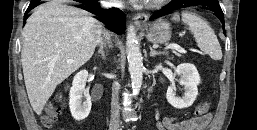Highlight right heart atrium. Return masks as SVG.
I'll return each mask as SVG.
<instances>
[{"label":"right heart atrium","instance_id":"right-heart-atrium-1","mask_svg":"<svg viewBox=\"0 0 257 130\" xmlns=\"http://www.w3.org/2000/svg\"><path fill=\"white\" fill-rule=\"evenodd\" d=\"M110 2H113V3H115V2H118V0H110Z\"/></svg>","mask_w":257,"mask_h":130}]
</instances>
